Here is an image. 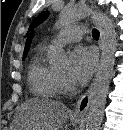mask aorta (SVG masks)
<instances>
[{
    "label": "aorta",
    "instance_id": "obj_1",
    "mask_svg": "<svg viewBox=\"0 0 123 130\" xmlns=\"http://www.w3.org/2000/svg\"><path fill=\"white\" fill-rule=\"evenodd\" d=\"M94 15L100 21L102 27L103 47L100 66L96 73L92 86L90 108L87 116L86 130H99L104 115L106 98L109 90L110 80L113 76L115 64V52L117 47L116 31L112 19L100 11H92L85 4L64 7L59 14L58 24L65 27L74 21ZM66 62L64 49L56 51L52 63L62 66Z\"/></svg>",
    "mask_w": 123,
    "mask_h": 130
}]
</instances>
